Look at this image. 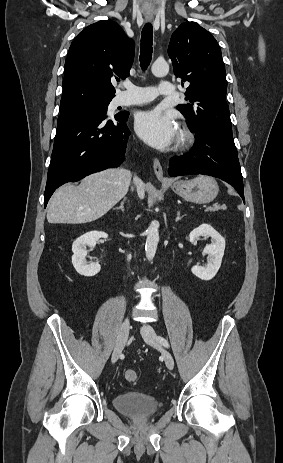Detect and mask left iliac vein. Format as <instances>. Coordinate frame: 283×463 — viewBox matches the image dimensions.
I'll return each instance as SVG.
<instances>
[{
  "mask_svg": "<svg viewBox=\"0 0 283 463\" xmlns=\"http://www.w3.org/2000/svg\"><path fill=\"white\" fill-rule=\"evenodd\" d=\"M141 334L145 342L155 348H158L162 351V354L165 359V364L168 369L172 370L174 368V359L173 356L169 351L166 349L162 348V346L159 344L157 338H156V333L155 330L148 324H145L141 327Z\"/></svg>",
  "mask_w": 283,
  "mask_h": 463,
  "instance_id": "obj_1",
  "label": "left iliac vein"
}]
</instances>
